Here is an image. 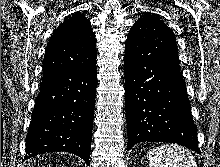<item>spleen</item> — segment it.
<instances>
[{
    "label": "spleen",
    "mask_w": 220,
    "mask_h": 167,
    "mask_svg": "<svg viewBox=\"0 0 220 167\" xmlns=\"http://www.w3.org/2000/svg\"><path fill=\"white\" fill-rule=\"evenodd\" d=\"M147 158L151 167H197L191 151L176 144L152 148Z\"/></svg>",
    "instance_id": "spleen-1"
}]
</instances>
